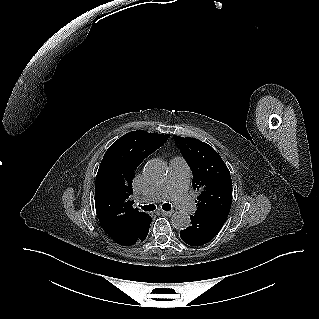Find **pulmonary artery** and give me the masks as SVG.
<instances>
[{
    "label": "pulmonary artery",
    "instance_id": "1",
    "mask_svg": "<svg viewBox=\"0 0 319 319\" xmlns=\"http://www.w3.org/2000/svg\"><path fill=\"white\" fill-rule=\"evenodd\" d=\"M169 175L159 185L149 187L140 197L139 202L155 203L166 199L173 200L185 214L192 212L194 204L186 190L190 179V170L181 157H174L169 162Z\"/></svg>",
    "mask_w": 319,
    "mask_h": 319
}]
</instances>
